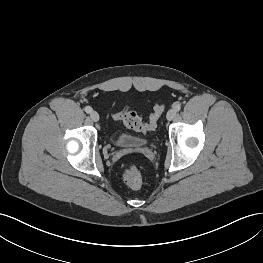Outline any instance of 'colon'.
<instances>
[{"mask_svg":"<svg viewBox=\"0 0 263 263\" xmlns=\"http://www.w3.org/2000/svg\"><path fill=\"white\" fill-rule=\"evenodd\" d=\"M164 106V103H157L154 106L153 113L148 122H144L142 118L128 106L123 109L120 116L128 127L140 132H150L156 128ZM122 179L127 186L139 188L143 183V172L136 164H127L122 171Z\"/></svg>","mask_w":263,"mask_h":263,"instance_id":"colon-1","label":"colon"}]
</instances>
